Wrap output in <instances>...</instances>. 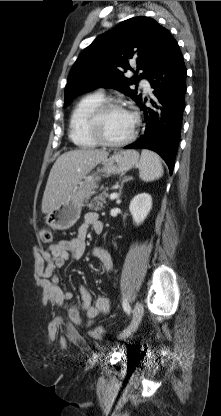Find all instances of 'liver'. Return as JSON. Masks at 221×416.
<instances>
[{"instance_id": "6515ba94", "label": "liver", "mask_w": 221, "mask_h": 416, "mask_svg": "<svg viewBox=\"0 0 221 416\" xmlns=\"http://www.w3.org/2000/svg\"><path fill=\"white\" fill-rule=\"evenodd\" d=\"M109 153L104 150L79 149L58 157L50 171L42 199V213L48 214L72 193L77 184Z\"/></svg>"}]
</instances>
